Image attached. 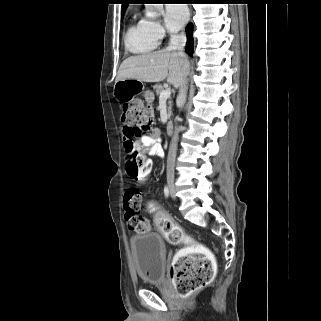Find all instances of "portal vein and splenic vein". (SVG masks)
Wrapping results in <instances>:
<instances>
[{
	"mask_svg": "<svg viewBox=\"0 0 321 321\" xmlns=\"http://www.w3.org/2000/svg\"><path fill=\"white\" fill-rule=\"evenodd\" d=\"M170 95H171V90L167 88L161 92L159 99L160 100L168 99Z\"/></svg>",
	"mask_w": 321,
	"mask_h": 321,
	"instance_id": "portal-vein-and-splenic-vein-1",
	"label": "portal vein and splenic vein"
}]
</instances>
